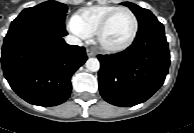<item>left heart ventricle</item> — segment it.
Segmentation results:
<instances>
[{
  "label": "left heart ventricle",
  "instance_id": "obj_1",
  "mask_svg": "<svg viewBox=\"0 0 194 133\" xmlns=\"http://www.w3.org/2000/svg\"><path fill=\"white\" fill-rule=\"evenodd\" d=\"M134 22L129 13H121L117 20L113 33L109 36V40L113 43H121L129 38L133 30Z\"/></svg>",
  "mask_w": 194,
  "mask_h": 133
}]
</instances>
